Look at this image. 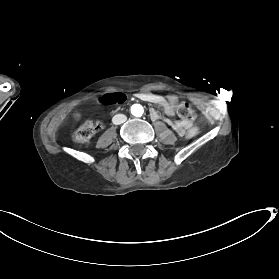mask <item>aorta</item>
Segmentation results:
<instances>
[{"instance_id": "1", "label": "aorta", "mask_w": 279, "mask_h": 279, "mask_svg": "<svg viewBox=\"0 0 279 279\" xmlns=\"http://www.w3.org/2000/svg\"><path fill=\"white\" fill-rule=\"evenodd\" d=\"M143 112H144V109H143V107L140 104L132 105V107H131L132 115H134L136 117H139V116H141L143 114Z\"/></svg>"}]
</instances>
